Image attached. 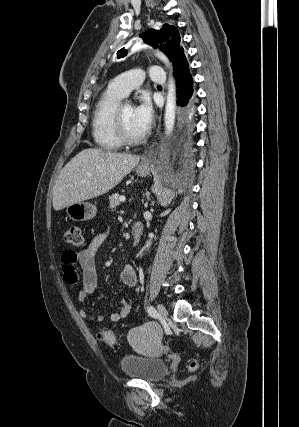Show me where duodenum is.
<instances>
[{
  "label": "duodenum",
  "mask_w": 299,
  "mask_h": 427,
  "mask_svg": "<svg viewBox=\"0 0 299 427\" xmlns=\"http://www.w3.org/2000/svg\"><path fill=\"white\" fill-rule=\"evenodd\" d=\"M132 234H133V243L138 245L141 241L143 226L140 222H135L131 225Z\"/></svg>",
  "instance_id": "obj_1"
}]
</instances>
